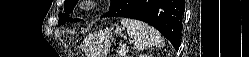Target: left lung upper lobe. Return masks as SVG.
Wrapping results in <instances>:
<instances>
[{"label":"left lung upper lobe","instance_id":"1","mask_svg":"<svg viewBox=\"0 0 249 57\" xmlns=\"http://www.w3.org/2000/svg\"><path fill=\"white\" fill-rule=\"evenodd\" d=\"M78 0H65V3H64V12L65 13H60L59 14V22L58 24L61 25L63 24L64 22H76V21H79V19H71L69 18V13L73 11V8L74 6L76 5ZM114 0H111V3H113Z\"/></svg>","mask_w":249,"mask_h":57}]
</instances>
